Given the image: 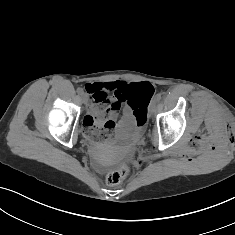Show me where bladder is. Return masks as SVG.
<instances>
[{"mask_svg":"<svg viewBox=\"0 0 235 235\" xmlns=\"http://www.w3.org/2000/svg\"><path fill=\"white\" fill-rule=\"evenodd\" d=\"M139 134L140 132L132 120H122L117 124L116 136L123 141L133 140L137 138Z\"/></svg>","mask_w":235,"mask_h":235,"instance_id":"bladder-1","label":"bladder"}]
</instances>
